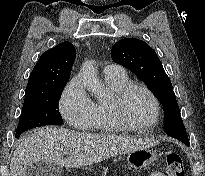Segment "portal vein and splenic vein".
Returning <instances> with one entry per match:
<instances>
[{"label": "portal vein and splenic vein", "mask_w": 205, "mask_h": 176, "mask_svg": "<svg viewBox=\"0 0 205 176\" xmlns=\"http://www.w3.org/2000/svg\"><path fill=\"white\" fill-rule=\"evenodd\" d=\"M64 154H69V152L65 151Z\"/></svg>", "instance_id": "portal-vein-and-splenic-vein-1"}]
</instances>
